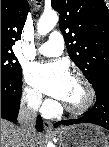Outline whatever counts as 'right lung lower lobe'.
Segmentation results:
<instances>
[{"label": "right lung lower lobe", "instance_id": "obj_1", "mask_svg": "<svg viewBox=\"0 0 109 147\" xmlns=\"http://www.w3.org/2000/svg\"><path fill=\"white\" fill-rule=\"evenodd\" d=\"M22 92V76L20 78L1 77V118L16 122L20 107V97ZM36 128L43 130L41 117L37 118Z\"/></svg>", "mask_w": 109, "mask_h": 147}]
</instances>
